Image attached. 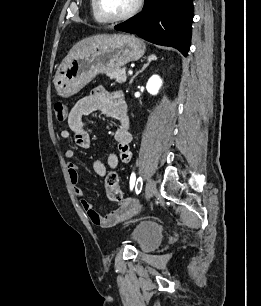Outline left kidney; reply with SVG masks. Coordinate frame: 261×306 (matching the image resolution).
Here are the masks:
<instances>
[{
	"instance_id": "1",
	"label": "left kidney",
	"mask_w": 261,
	"mask_h": 306,
	"mask_svg": "<svg viewBox=\"0 0 261 306\" xmlns=\"http://www.w3.org/2000/svg\"><path fill=\"white\" fill-rule=\"evenodd\" d=\"M162 86V79L158 75H153L147 82L146 89L151 95H157Z\"/></svg>"
}]
</instances>
